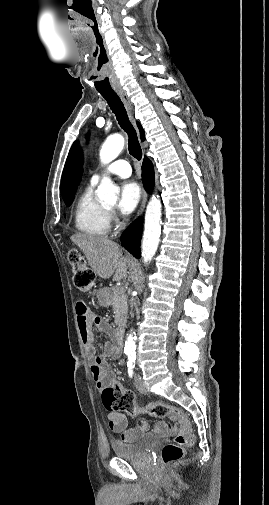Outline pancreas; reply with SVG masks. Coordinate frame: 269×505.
Segmentation results:
<instances>
[{"label": "pancreas", "instance_id": "1", "mask_svg": "<svg viewBox=\"0 0 269 505\" xmlns=\"http://www.w3.org/2000/svg\"><path fill=\"white\" fill-rule=\"evenodd\" d=\"M111 305L114 312V323L116 325H123L127 319V297L123 288H114Z\"/></svg>", "mask_w": 269, "mask_h": 505}]
</instances>
